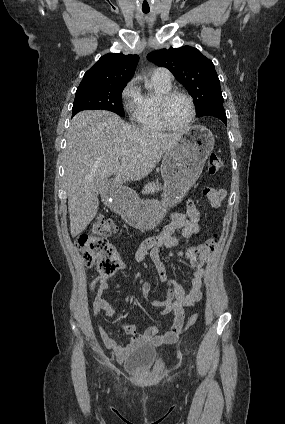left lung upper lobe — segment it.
Instances as JSON below:
<instances>
[{
	"instance_id": "obj_1",
	"label": "left lung upper lobe",
	"mask_w": 285,
	"mask_h": 424,
	"mask_svg": "<svg viewBox=\"0 0 285 424\" xmlns=\"http://www.w3.org/2000/svg\"><path fill=\"white\" fill-rule=\"evenodd\" d=\"M148 60L169 69L194 99L197 115L223 97L214 64L190 46L161 49L148 54Z\"/></svg>"
}]
</instances>
